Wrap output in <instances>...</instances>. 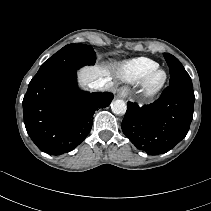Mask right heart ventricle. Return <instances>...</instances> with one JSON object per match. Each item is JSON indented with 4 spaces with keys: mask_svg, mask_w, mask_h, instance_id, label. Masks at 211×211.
<instances>
[{
    "mask_svg": "<svg viewBox=\"0 0 211 211\" xmlns=\"http://www.w3.org/2000/svg\"><path fill=\"white\" fill-rule=\"evenodd\" d=\"M159 64L146 57H140L126 62L121 68V78L123 81L138 84L143 82L146 77L155 69Z\"/></svg>",
    "mask_w": 211,
    "mask_h": 211,
    "instance_id": "1",
    "label": "right heart ventricle"
}]
</instances>
